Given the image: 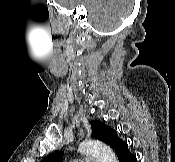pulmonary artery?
<instances>
[{
	"mask_svg": "<svg viewBox=\"0 0 175 162\" xmlns=\"http://www.w3.org/2000/svg\"><path fill=\"white\" fill-rule=\"evenodd\" d=\"M74 162H98V160L94 159V158H86V159H83V160H76Z\"/></svg>",
	"mask_w": 175,
	"mask_h": 162,
	"instance_id": "pulmonary-artery-1",
	"label": "pulmonary artery"
}]
</instances>
